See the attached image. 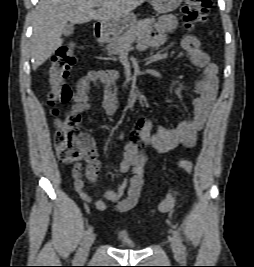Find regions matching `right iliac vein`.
I'll return each mask as SVG.
<instances>
[{"label": "right iliac vein", "mask_w": 254, "mask_h": 267, "mask_svg": "<svg viewBox=\"0 0 254 267\" xmlns=\"http://www.w3.org/2000/svg\"><path fill=\"white\" fill-rule=\"evenodd\" d=\"M94 240H95L94 234H90L88 236V238L86 239L84 246H83V249L81 251L80 261H82V262L86 261L88 254H89V251H90V248H91Z\"/></svg>", "instance_id": "right-iliac-vein-1"}]
</instances>
